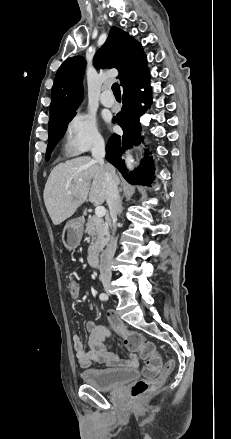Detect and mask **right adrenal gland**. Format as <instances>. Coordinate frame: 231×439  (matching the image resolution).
Segmentation results:
<instances>
[{
    "label": "right adrenal gland",
    "mask_w": 231,
    "mask_h": 439,
    "mask_svg": "<svg viewBox=\"0 0 231 439\" xmlns=\"http://www.w3.org/2000/svg\"><path fill=\"white\" fill-rule=\"evenodd\" d=\"M122 200L123 198L120 199V209H119V215L122 213L123 211V207H122Z\"/></svg>",
    "instance_id": "right-adrenal-gland-1"
}]
</instances>
